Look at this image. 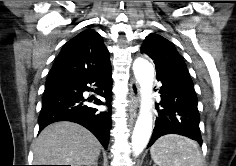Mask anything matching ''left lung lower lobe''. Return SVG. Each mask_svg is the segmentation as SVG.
<instances>
[{
    "label": "left lung lower lobe",
    "instance_id": "0a47b994",
    "mask_svg": "<svg viewBox=\"0 0 236 166\" xmlns=\"http://www.w3.org/2000/svg\"><path fill=\"white\" fill-rule=\"evenodd\" d=\"M156 78L162 84L161 108L147 148L159 137L171 133L189 137L202 145L198 100L187 68L162 70L157 72Z\"/></svg>",
    "mask_w": 236,
    "mask_h": 166
}]
</instances>
